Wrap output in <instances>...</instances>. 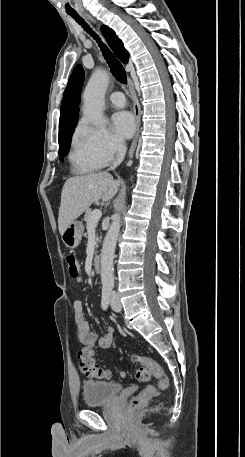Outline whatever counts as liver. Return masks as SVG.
I'll use <instances>...</instances> for the list:
<instances>
[{
	"label": "liver",
	"instance_id": "6515ba94",
	"mask_svg": "<svg viewBox=\"0 0 245 457\" xmlns=\"http://www.w3.org/2000/svg\"><path fill=\"white\" fill-rule=\"evenodd\" d=\"M118 186L119 180H114L109 172H90L85 176L67 178L61 192L58 216L60 235L92 202L98 198L111 200L118 192Z\"/></svg>",
	"mask_w": 245,
	"mask_h": 457
}]
</instances>
